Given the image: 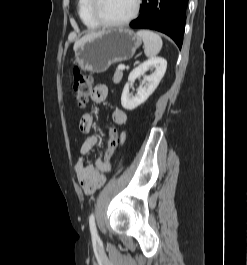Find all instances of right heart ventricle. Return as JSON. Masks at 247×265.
<instances>
[{
	"instance_id": "obj_1",
	"label": "right heart ventricle",
	"mask_w": 247,
	"mask_h": 265,
	"mask_svg": "<svg viewBox=\"0 0 247 265\" xmlns=\"http://www.w3.org/2000/svg\"><path fill=\"white\" fill-rule=\"evenodd\" d=\"M91 0H78V15L82 23L89 29H97L99 24L93 19L90 11Z\"/></svg>"
}]
</instances>
